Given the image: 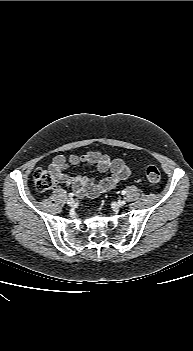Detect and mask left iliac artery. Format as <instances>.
<instances>
[{
  "instance_id": "1",
  "label": "left iliac artery",
  "mask_w": 193,
  "mask_h": 351,
  "mask_svg": "<svg viewBox=\"0 0 193 351\" xmlns=\"http://www.w3.org/2000/svg\"><path fill=\"white\" fill-rule=\"evenodd\" d=\"M121 194H122V195H125V194H126V191L123 190V191L121 192Z\"/></svg>"
}]
</instances>
